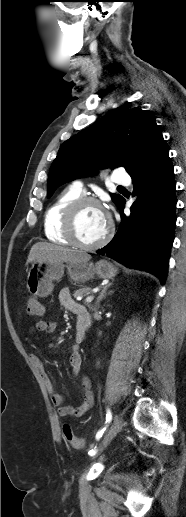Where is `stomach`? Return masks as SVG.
<instances>
[{"instance_id":"1","label":"stomach","mask_w":186,"mask_h":517,"mask_svg":"<svg viewBox=\"0 0 186 517\" xmlns=\"http://www.w3.org/2000/svg\"><path fill=\"white\" fill-rule=\"evenodd\" d=\"M65 268L70 279L75 282H84L95 275L102 279H111L117 274L114 265L106 260H100L95 264L34 262L27 276L28 291L39 297L48 296L53 291V281H59L62 278Z\"/></svg>"}]
</instances>
